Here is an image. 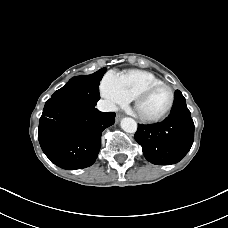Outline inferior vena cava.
<instances>
[{
    "label": "inferior vena cava",
    "instance_id": "602c4592",
    "mask_svg": "<svg viewBox=\"0 0 228 228\" xmlns=\"http://www.w3.org/2000/svg\"><path fill=\"white\" fill-rule=\"evenodd\" d=\"M97 109L102 112H116L117 111L116 105L107 100H99L97 103Z\"/></svg>",
    "mask_w": 228,
    "mask_h": 228
}]
</instances>
